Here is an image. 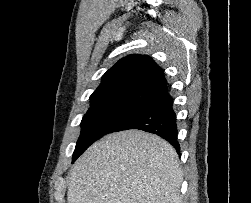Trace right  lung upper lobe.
Here are the masks:
<instances>
[{"label":"right lung upper lobe","instance_id":"obj_1","mask_svg":"<svg viewBox=\"0 0 251 203\" xmlns=\"http://www.w3.org/2000/svg\"><path fill=\"white\" fill-rule=\"evenodd\" d=\"M171 98L161 68L147 55H129L102 77L90 96L91 106L123 105L151 108Z\"/></svg>","mask_w":251,"mask_h":203}]
</instances>
